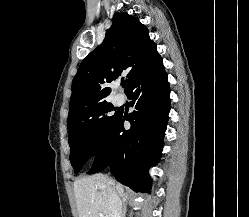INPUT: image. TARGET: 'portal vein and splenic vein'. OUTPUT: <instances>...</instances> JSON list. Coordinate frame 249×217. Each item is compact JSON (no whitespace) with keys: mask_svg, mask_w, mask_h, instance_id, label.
<instances>
[{"mask_svg":"<svg viewBox=\"0 0 249 217\" xmlns=\"http://www.w3.org/2000/svg\"><path fill=\"white\" fill-rule=\"evenodd\" d=\"M99 216H100V217H105L102 213H99Z\"/></svg>","mask_w":249,"mask_h":217,"instance_id":"obj_1","label":"portal vein and splenic vein"}]
</instances>
